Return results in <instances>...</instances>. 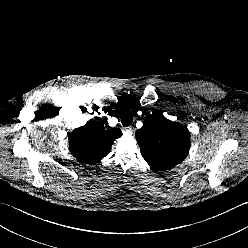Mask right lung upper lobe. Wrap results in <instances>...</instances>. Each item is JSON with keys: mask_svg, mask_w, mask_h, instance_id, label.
Masks as SVG:
<instances>
[{"mask_svg": "<svg viewBox=\"0 0 248 248\" xmlns=\"http://www.w3.org/2000/svg\"><path fill=\"white\" fill-rule=\"evenodd\" d=\"M121 135L119 129L111 128L106 119L98 117L70 134L69 149L78 160L96 164L110 152L114 140Z\"/></svg>", "mask_w": 248, "mask_h": 248, "instance_id": "right-lung-upper-lobe-1", "label": "right lung upper lobe"}]
</instances>
